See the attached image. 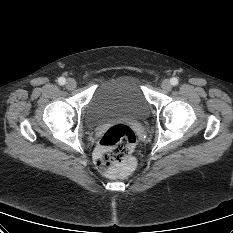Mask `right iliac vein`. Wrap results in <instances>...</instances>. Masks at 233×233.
<instances>
[{
    "instance_id": "right-iliac-vein-1",
    "label": "right iliac vein",
    "mask_w": 233,
    "mask_h": 233,
    "mask_svg": "<svg viewBox=\"0 0 233 233\" xmlns=\"http://www.w3.org/2000/svg\"><path fill=\"white\" fill-rule=\"evenodd\" d=\"M76 85H77V83H76V81H75L73 78H69V79L67 80V82H66V88H67L68 90H73V89H75V88H76Z\"/></svg>"
}]
</instances>
